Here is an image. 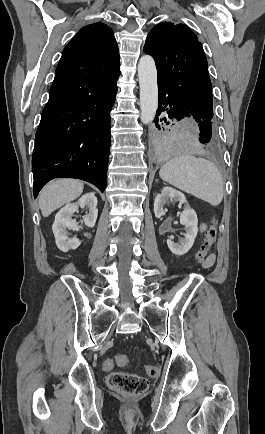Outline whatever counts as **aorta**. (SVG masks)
Returning a JSON list of instances; mask_svg holds the SVG:
<instances>
[{
  "mask_svg": "<svg viewBox=\"0 0 265 434\" xmlns=\"http://www.w3.org/2000/svg\"><path fill=\"white\" fill-rule=\"evenodd\" d=\"M140 86V120L142 124L153 122L158 108L157 70L152 56H142L138 62Z\"/></svg>",
  "mask_w": 265,
  "mask_h": 434,
  "instance_id": "762f6f07",
  "label": "aorta"
}]
</instances>
